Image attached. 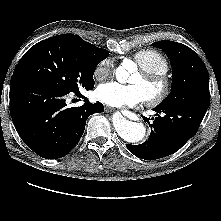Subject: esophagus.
<instances>
[{"label":"esophagus","instance_id":"34e87169","mask_svg":"<svg viewBox=\"0 0 221 221\" xmlns=\"http://www.w3.org/2000/svg\"><path fill=\"white\" fill-rule=\"evenodd\" d=\"M112 110H113V108L110 107V106H106V108H105V111H106V112H111Z\"/></svg>","mask_w":221,"mask_h":221}]
</instances>
